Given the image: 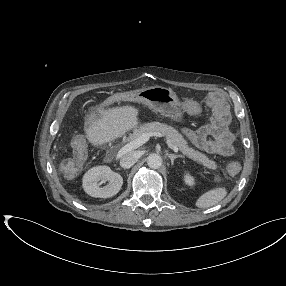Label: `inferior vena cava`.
<instances>
[{"instance_id": "obj_1", "label": "inferior vena cava", "mask_w": 286, "mask_h": 286, "mask_svg": "<svg viewBox=\"0 0 286 286\" xmlns=\"http://www.w3.org/2000/svg\"><path fill=\"white\" fill-rule=\"evenodd\" d=\"M139 157L137 152H129L121 158L120 165L124 169H129L137 162Z\"/></svg>"}]
</instances>
